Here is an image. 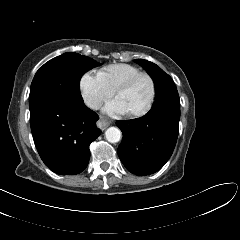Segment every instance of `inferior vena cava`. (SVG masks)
<instances>
[{"label": "inferior vena cava", "mask_w": 240, "mask_h": 240, "mask_svg": "<svg viewBox=\"0 0 240 240\" xmlns=\"http://www.w3.org/2000/svg\"><path fill=\"white\" fill-rule=\"evenodd\" d=\"M86 105L91 109H99L101 107V101L95 98H88L85 101Z\"/></svg>", "instance_id": "inferior-vena-cava-1"}]
</instances>
